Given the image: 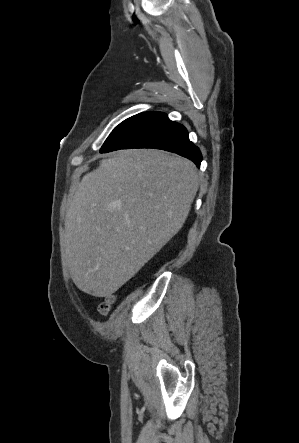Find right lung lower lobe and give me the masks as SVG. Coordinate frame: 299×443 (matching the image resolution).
Instances as JSON below:
<instances>
[{"label": "right lung lower lobe", "instance_id": "right-lung-lower-lobe-1", "mask_svg": "<svg viewBox=\"0 0 299 443\" xmlns=\"http://www.w3.org/2000/svg\"><path fill=\"white\" fill-rule=\"evenodd\" d=\"M155 148L177 153L200 166V150L189 140L186 128L171 121L162 112H144L108 148L107 153L119 149Z\"/></svg>", "mask_w": 299, "mask_h": 443}]
</instances>
